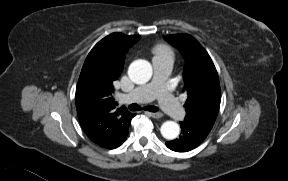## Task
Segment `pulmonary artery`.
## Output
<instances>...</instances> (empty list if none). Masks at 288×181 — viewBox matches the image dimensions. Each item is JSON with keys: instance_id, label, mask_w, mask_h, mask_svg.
Masks as SVG:
<instances>
[{"instance_id": "1", "label": "pulmonary artery", "mask_w": 288, "mask_h": 181, "mask_svg": "<svg viewBox=\"0 0 288 181\" xmlns=\"http://www.w3.org/2000/svg\"><path fill=\"white\" fill-rule=\"evenodd\" d=\"M173 61L169 58L153 59L154 76L150 83L139 87L126 95L129 101L148 102L157 98L159 105L175 120L184 118L185 111L167 87V78L171 73Z\"/></svg>"}]
</instances>
